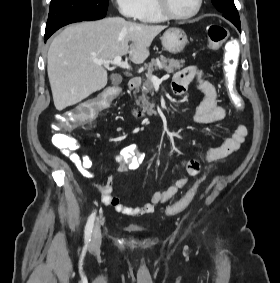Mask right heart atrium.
Instances as JSON below:
<instances>
[{
    "mask_svg": "<svg viewBox=\"0 0 280 283\" xmlns=\"http://www.w3.org/2000/svg\"><path fill=\"white\" fill-rule=\"evenodd\" d=\"M122 16L129 20H137L144 10V0H114Z\"/></svg>",
    "mask_w": 280,
    "mask_h": 283,
    "instance_id": "d8ad5b80",
    "label": "right heart atrium"
}]
</instances>
